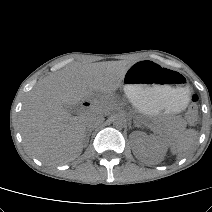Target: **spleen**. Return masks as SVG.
<instances>
[{
    "label": "spleen",
    "mask_w": 212,
    "mask_h": 212,
    "mask_svg": "<svg viewBox=\"0 0 212 212\" xmlns=\"http://www.w3.org/2000/svg\"><path fill=\"white\" fill-rule=\"evenodd\" d=\"M196 137L197 132L194 130H187L179 135H176L175 138L170 140L171 152L178 155L185 154L193 146Z\"/></svg>",
    "instance_id": "3e777b00"
}]
</instances>
